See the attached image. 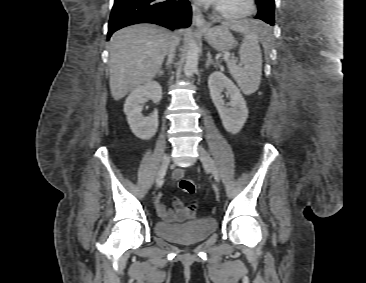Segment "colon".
Returning a JSON list of instances; mask_svg holds the SVG:
<instances>
[{
  "mask_svg": "<svg viewBox=\"0 0 366 283\" xmlns=\"http://www.w3.org/2000/svg\"><path fill=\"white\" fill-rule=\"evenodd\" d=\"M180 189L186 194H193L196 191V184L192 179H182L179 183ZM190 214L194 213V209L189 210Z\"/></svg>",
  "mask_w": 366,
  "mask_h": 283,
  "instance_id": "obj_1",
  "label": "colon"
}]
</instances>
